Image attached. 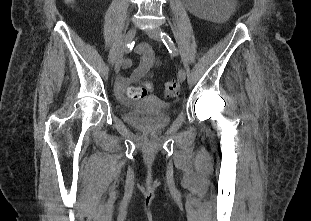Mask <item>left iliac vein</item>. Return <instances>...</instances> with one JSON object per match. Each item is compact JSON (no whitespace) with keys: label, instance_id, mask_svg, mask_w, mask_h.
<instances>
[{"label":"left iliac vein","instance_id":"4c4485c4","mask_svg":"<svg viewBox=\"0 0 311 221\" xmlns=\"http://www.w3.org/2000/svg\"><path fill=\"white\" fill-rule=\"evenodd\" d=\"M160 31H161V30H160L159 28L154 27V28L147 29V30H146V34H147L150 38H152V39H154V40H156V41H161ZM177 76H178V80H179L180 82L185 81V79H186V73H185L184 69L180 68V69L178 70V75H177Z\"/></svg>","mask_w":311,"mask_h":221}]
</instances>
